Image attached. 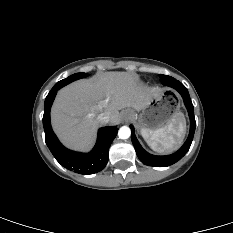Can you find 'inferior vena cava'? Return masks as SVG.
Returning <instances> with one entry per match:
<instances>
[{"label":"inferior vena cava","instance_id":"inferior-vena-cava-1","mask_svg":"<svg viewBox=\"0 0 233 233\" xmlns=\"http://www.w3.org/2000/svg\"><path fill=\"white\" fill-rule=\"evenodd\" d=\"M97 120L101 123V124H106L110 121V117L108 115H105L104 113H101L98 115Z\"/></svg>","mask_w":233,"mask_h":233}]
</instances>
